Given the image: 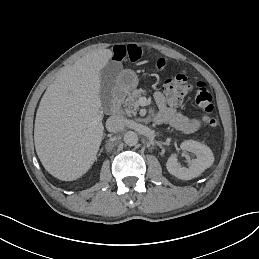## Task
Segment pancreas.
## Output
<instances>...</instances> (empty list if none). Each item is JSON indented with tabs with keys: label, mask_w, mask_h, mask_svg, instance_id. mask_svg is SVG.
Listing matches in <instances>:
<instances>
[{
	"label": "pancreas",
	"mask_w": 259,
	"mask_h": 259,
	"mask_svg": "<svg viewBox=\"0 0 259 259\" xmlns=\"http://www.w3.org/2000/svg\"><path fill=\"white\" fill-rule=\"evenodd\" d=\"M146 93L147 91L144 88L134 90L133 92L129 93L123 104L125 112L128 116H136L137 110L139 109V98L143 95H146Z\"/></svg>",
	"instance_id": "pancreas-1"
}]
</instances>
